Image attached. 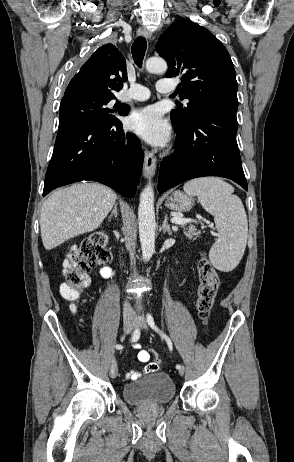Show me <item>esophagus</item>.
<instances>
[{
    "instance_id": "34e87169",
    "label": "esophagus",
    "mask_w": 294,
    "mask_h": 462,
    "mask_svg": "<svg viewBox=\"0 0 294 462\" xmlns=\"http://www.w3.org/2000/svg\"><path fill=\"white\" fill-rule=\"evenodd\" d=\"M137 35L145 37L146 39L151 38V32L145 28H140L137 31ZM156 162H157V159L154 156V154L146 149L145 157H144V166H143L144 177L151 178L155 174Z\"/></svg>"
}]
</instances>
